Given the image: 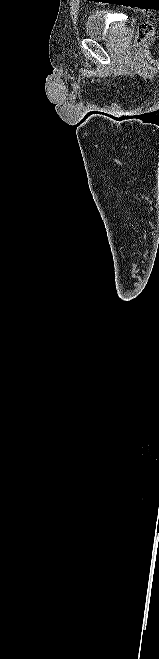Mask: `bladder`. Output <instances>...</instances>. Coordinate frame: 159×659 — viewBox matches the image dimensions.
I'll list each match as a JSON object with an SVG mask.
<instances>
[{
	"label": "bladder",
	"mask_w": 159,
	"mask_h": 659,
	"mask_svg": "<svg viewBox=\"0 0 159 659\" xmlns=\"http://www.w3.org/2000/svg\"><path fill=\"white\" fill-rule=\"evenodd\" d=\"M115 22L107 21L102 11H94L85 20L84 32L89 39H108L116 35Z\"/></svg>",
	"instance_id": "bladder-1"
}]
</instances>
